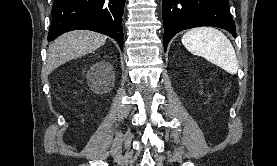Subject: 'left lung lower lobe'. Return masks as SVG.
<instances>
[{"instance_id":"left-lung-lower-lobe-1","label":"left lung lower lobe","mask_w":277,"mask_h":166,"mask_svg":"<svg viewBox=\"0 0 277 166\" xmlns=\"http://www.w3.org/2000/svg\"><path fill=\"white\" fill-rule=\"evenodd\" d=\"M162 11L165 51L178 32L200 26L219 27L236 37L228 0H162Z\"/></svg>"}]
</instances>
